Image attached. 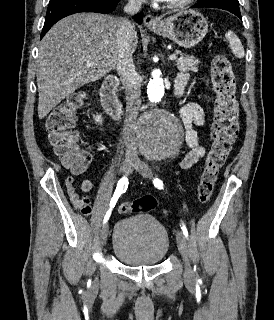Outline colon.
Masks as SVG:
<instances>
[{
	"instance_id": "obj_1",
	"label": "colon",
	"mask_w": 274,
	"mask_h": 320,
	"mask_svg": "<svg viewBox=\"0 0 274 320\" xmlns=\"http://www.w3.org/2000/svg\"><path fill=\"white\" fill-rule=\"evenodd\" d=\"M211 82L216 94L215 113L211 128V147L197 187L198 202L206 204L211 199L217 173L222 167L239 131V103L236 98V76L229 60L217 55L212 63ZM81 98L71 96L63 105L56 106L49 114L46 128L49 141L63 165L73 173L82 172L88 164L89 152L82 147L75 131L77 109ZM68 196H80L73 187V178L66 179ZM81 199H83L81 197ZM155 198L148 196L118 205L119 214H133L153 211ZM82 211V210H80ZM167 216L166 211L161 212Z\"/></svg>"
}]
</instances>
